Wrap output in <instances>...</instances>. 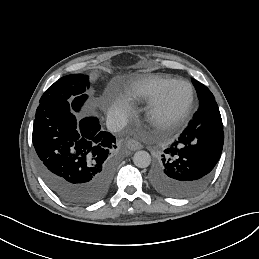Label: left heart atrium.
Instances as JSON below:
<instances>
[{"label": "left heart atrium", "mask_w": 259, "mask_h": 259, "mask_svg": "<svg viewBox=\"0 0 259 259\" xmlns=\"http://www.w3.org/2000/svg\"><path fill=\"white\" fill-rule=\"evenodd\" d=\"M166 151H169L173 154H180L183 152V149L178 146H171V147H167Z\"/></svg>", "instance_id": "1"}]
</instances>
